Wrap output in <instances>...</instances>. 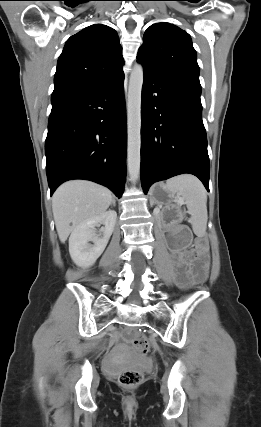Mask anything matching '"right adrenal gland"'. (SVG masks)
Masks as SVG:
<instances>
[{"mask_svg": "<svg viewBox=\"0 0 261 427\" xmlns=\"http://www.w3.org/2000/svg\"><path fill=\"white\" fill-rule=\"evenodd\" d=\"M111 205H113L114 207L116 206V201L115 199L112 200Z\"/></svg>", "mask_w": 261, "mask_h": 427, "instance_id": "right-adrenal-gland-1", "label": "right adrenal gland"}]
</instances>
